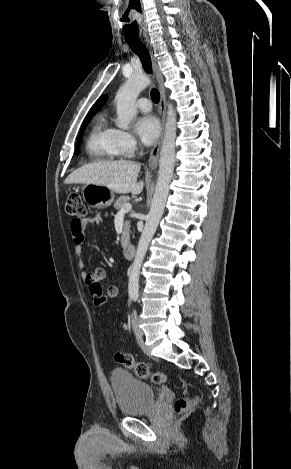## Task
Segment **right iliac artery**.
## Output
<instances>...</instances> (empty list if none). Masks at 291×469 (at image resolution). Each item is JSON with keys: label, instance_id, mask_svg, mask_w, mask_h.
Instances as JSON below:
<instances>
[{"label": "right iliac artery", "instance_id": "right-iliac-artery-1", "mask_svg": "<svg viewBox=\"0 0 291 469\" xmlns=\"http://www.w3.org/2000/svg\"><path fill=\"white\" fill-rule=\"evenodd\" d=\"M133 296H131L130 300H129V304L131 303V299H132Z\"/></svg>", "mask_w": 291, "mask_h": 469}]
</instances>
